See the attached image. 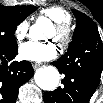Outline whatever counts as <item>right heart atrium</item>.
Here are the masks:
<instances>
[{"mask_svg":"<svg viewBox=\"0 0 103 103\" xmlns=\"http://www.w3.org/2000/svg\"><path fill=\"white\" fill-rule=\"evenodd\" d=\"M28 29H29V22L27 20L21 21L15 28L14 32L15 39L18 42H21L27 36Z\"/></svg>","mask_w":103,"mask_h":103,"instance_id":"obj_1","label":"right heart atrium"}]
</instances>
